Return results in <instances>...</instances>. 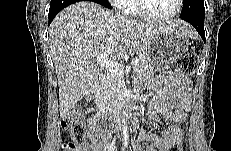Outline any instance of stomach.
<instances>
[{
    "mask_svg": "<svg viewBox=\"0 0 231 151\" xmlns=\"http://www.w3.org/2000/svg\"><path fill=\"white\" fill-rule=\"evenodd\" d=\"M189 45L186 34L168 26L148 44L143 57L154 71L167 69L187 52Z\"/></svg>",
    "mask_w": 231,
    "mask_h": 151,
    "instance_id": "stomach-1",
    "label": "stomach"
}]
</instances>
